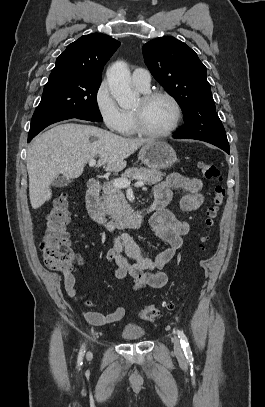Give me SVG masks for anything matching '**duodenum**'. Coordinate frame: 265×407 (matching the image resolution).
Here are the masks:
<instances>
[{
  "label": "duodenum",
  "instance_id": "1",
  "mask_svg": "<svg viewBox=\"0 0 265 407\" xmlns=\"http://www.w3.org/2000/svg\"><path fill=\"white\" fill-rule=\"evenodd\" d=\"M86 192V208L89 216L93 221L102 225L109 231H115L120 228H137L142 224L146 214L156 206L161 205L160 201H154L151 205L137 208L128 213L120 220H108L100 205L99 194L101 184L96 179H90L87 185Z\"/></svg>",
  "mask_w": 265,
  "mask_h": 407
}]
</instances>
